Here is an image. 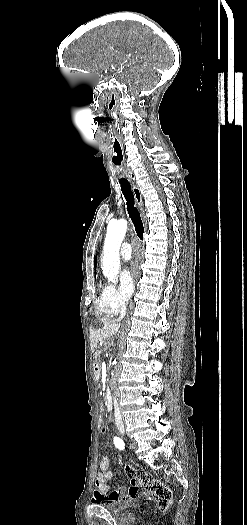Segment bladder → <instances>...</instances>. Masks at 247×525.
Here are the masks:
<instances>
[{
    "mask_svg": "<svg viewBox=\"0 0 247 525\" xmlns=\"http://www.w3.org/2000/svg\"><path fill=\"white\" fill-rule=\"evenodd\" d=\"M102 507L110 514H121L126 511L124 502L121 501L106 502L102 504Z\"/></svg>",
    "mask_w": 247,
    "mask_h": 525,
    "instance_id": "obj_1",
    "label": "bladder"
}]
</instances>
